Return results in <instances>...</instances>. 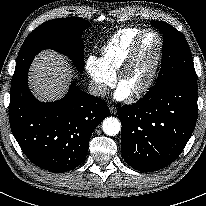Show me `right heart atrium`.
<instances>
[{
    "label": "right heart atrium",
    "instance_id": "d8ad5b80",
    "mask_svg": "<svg viewBox=\"0 0 206 206\" xmlns=\"http://www.w3.org/2000/svg\"><path fill=\"white\" fill-rule=\"evenodd\" d=\"M85 67L91 81L93 93L99 97L104 96L108 88L114 84V76L107 73L94 57L88 58Z\"/></svg>",
    "mask_w": 206,
    "mask_h": 206
}]
</instances>
